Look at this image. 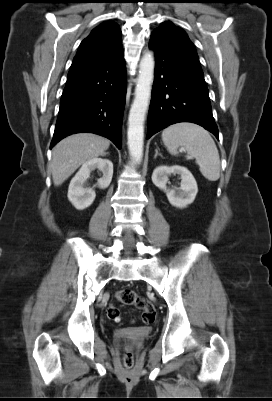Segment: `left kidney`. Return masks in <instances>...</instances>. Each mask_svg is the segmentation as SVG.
I'll list each match as a JSON object with an SVG mask.
<instances>
[{
	"label": "left kidney",
	"mask_w": 272,
	"mask_h": 401,
	"mask_svg": "<svg viewBox=\"0 0 272 401\" xmlns=\"http://www.w3.org/2000/svg\"><path fill=\"white\" fill-rule=\"evenodd\" d=\"M170 174H179L181 176L180 188H167L166 184ZM152 182L156 187L166 192L170 204L177 208H185L191 204L198 192L196 180L191 172L187 168L178 165L157 167L153 171Z\"/></svg>",
	"instance_id": "1"
}]
</instances>
